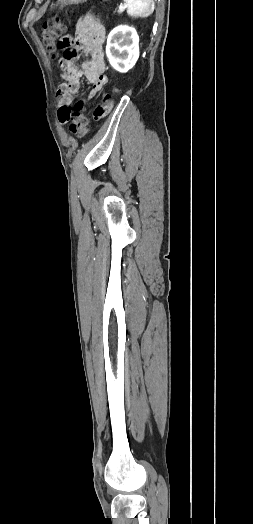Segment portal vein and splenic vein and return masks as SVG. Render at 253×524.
<instances>
[{
	"instance_id": "1",
	"label": "portal vein and splenic vein",
	"mask_w": 253,
	"mask_h": 524,
	"mask_svg": "<svg viewBox=\"0 0 253 524\" xmlns=\"http://www.w3.org/2000/svg\"><path fill=\"white\" fill-rule=\"evenodd\" d=\"M125 8H126L125 5L120 6V8H119V12H123V10H124Z\"/></svg>"
}]
</instances>
